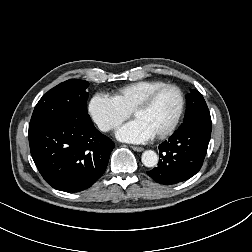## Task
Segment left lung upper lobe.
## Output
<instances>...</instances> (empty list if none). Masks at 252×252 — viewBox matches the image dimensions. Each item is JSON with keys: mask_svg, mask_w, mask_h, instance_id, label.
I'll return each mask as SVG.
<instances>
[{"mask_svg": "<svg viewBox=\"0 0 252 252\" xmlns=\"http://www.w3.org/2000/svg\"><path fill=\"white\" fill-rule=\"evenodd\" d=\"M193 123H211L206 102L202 94L196 90H191V93L187 96L186 114L179 129Z\"/></svg>", "mask_w": 252, "mask_h": 252, "instance_id": "obj_1", "label": "left lung upper lobe"}]
</instances>
